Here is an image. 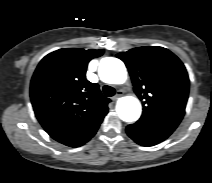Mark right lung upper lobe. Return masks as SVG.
<instances>
[{
  "instance_id": "right-lung-upper-lobe-1",
  "label": "right lung upper lobe",
  "mask_w": 212,
  "mask_h": 183,
  "mask_svg": "<svg viewBox=\"0 0 212 183\" xmlns=\"http://www.w3.org/2000/svg\"><path fill=\"white\" fill-rule=\"evenodd\" d=\"M103 50L64 48L45 56L31 80L35 115L58 142L78 146L95 135L110 99L86 77L88 62Z\"/></svg>"
}]
</instances>
